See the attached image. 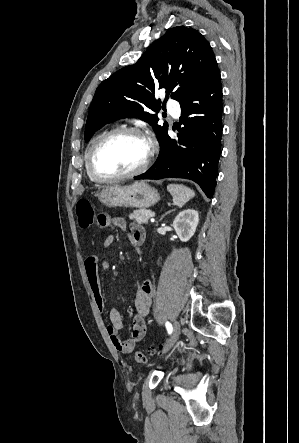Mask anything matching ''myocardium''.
<instances>
[{"label":"myocardium","instance_id":"obj_1","mask_svg":"<svg viewBox=\"0 0 299 443\" xmlns=\"http://www.w3.org/2000/svg\"><path fill=\"white\" fill-rule=\"evenodd\" d=\"M123 134H136V135H139L140 137H142L144 140H146V142L148 144V151H147V154H146L143 162L139 166H137L136 168H134L128 172L122 173V174H118V175H114V176L101 175L96 170V168L94 166V157H95V154H96L98 148L103 143L107 142L108 140H110L116 136L123 135ZM153 156H154V145L149 140V138L147 137V135L145 134L144 131H142L140 128L134 127V126L119 127V128H115V129H112V130L106 132L105 134L100 136L93 143V145L89 149L88 156H87V168H88L89 175L96 182L112 183V182H117V181H121L124 179H128V178H131V177H134V176H137V175L143 173L149 167V165L153 159Z\"/></svg>","mask_w":299,"mask_h":443}]
</instances>
